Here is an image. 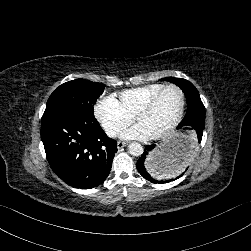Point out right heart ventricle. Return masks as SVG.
<instances>
[{"label": "right heart ventricle", "mask_w": 251, "mask_h": 251, "mask_svg": "<svg viewBox=\"0 0 251 251\" xmlns=\"http://www.w3.org/2000/svg\"><path fill=\"white\" fill-rule=\"evenodd\" d=\"M164 86L161 83H150L126 89L120 94L121 102L129 112L134 113Z\"/></svg>", "instance_id": "right-heart-ventricle-1"}]
</instances>
